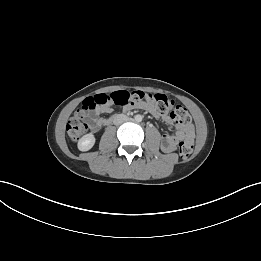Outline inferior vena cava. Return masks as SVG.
I'll use <instances>...</instances> for the list:
<instances>
[{"label": "inferior vena cava", "mask_w": 261, "mask_h": 261, "mask_svg": "<svg viewBox=\"0 0 261 261\" xmlns=\"http://www.w3.org/2000/svg\"><path fill=\"white\" fill-rule=\"evenodd\" d=\"M128 120V117L124 114H119L114 119V124L118 125Z\"/></svg>", "instance_id": "1"}]
</instances>
